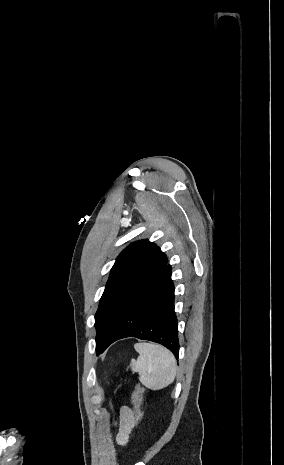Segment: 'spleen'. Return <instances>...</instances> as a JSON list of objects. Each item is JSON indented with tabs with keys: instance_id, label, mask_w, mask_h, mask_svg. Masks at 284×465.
Masks as SVG:
<instances>
[{
	"instance_id": "spleen-1",
	"label": "spleen",
	"mask_w": 284,
	"mask_h": 465,
	"mask_svg": "<svg viewBox=\"0 0 284 465\" xmlns=\"http://www.w3.org/2000/svg\"><path fill=\"white\" fill-rule=\"evenodd\" d=\"M134 349L139 357L136 361L132 359L130 367L133 373H139V381L144 387L159 391L173 383L176 361L168 349L152 343H136Z\"/></svg>"
}]
</instances>
